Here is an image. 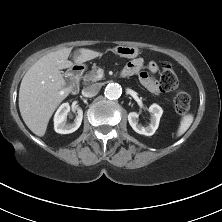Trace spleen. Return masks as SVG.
<instances>
[{
    "instance_id": "spleen-1",
    "label": "spleen",
    "mask_w": 222,
    "mask_h": 222,
    "mask_svg": "<svg viewBox=\"0 0 222 222\" xmlns=\"http://www.w3.org/2000/svg\"><path fill=\"white\" fill-rule=\"evenodd\" d=\"M193 120H194V117L192 114L184 115L180 121V126L177 131V136L183 135L191 126Z\"/></svg>"
}]
</instances>
